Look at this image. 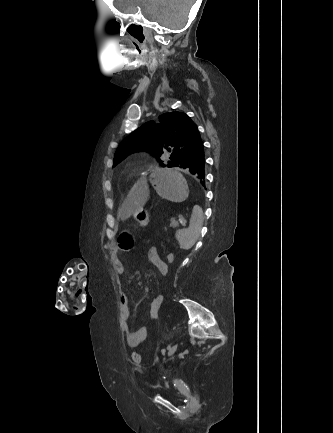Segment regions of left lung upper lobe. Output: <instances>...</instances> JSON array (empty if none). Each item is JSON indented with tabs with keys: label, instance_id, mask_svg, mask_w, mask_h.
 I'll list each match as a JSON object with an SVG mask.
<instances>
[{
	"label": "left lung upper lobe",
	"instance_id": "5c2ea615",
	"mask_svg": "<svg viewBox=\"0 0 333 433\" xmlns=\"http://www.w3.org/2000/svg\"><path fill=\"white\" fill-rule=\"evenodd\" d=\"M160 122H147L125 138L116 150L113 166L131 153L148 151L157 156L163 167H175L201 141L196 124L185 113H164L160 116ZM162 148L171 154L166 165L159 159Z\"/></svg>",
	"mask_w": 333,
	"mask_h": 433
}]
</instances>
